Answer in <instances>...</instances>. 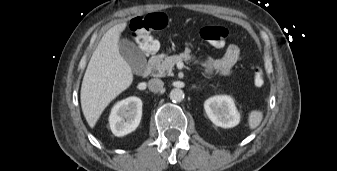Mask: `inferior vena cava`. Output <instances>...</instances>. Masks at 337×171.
I'll list each match as a JSON object with an SVG mask.
<instances>
[{"mask_svg":"<svg viewBox=\"0 0 337 171\" xmlns=\"http://www.w3.org/2000/svg\"><path fill=\"white\" fill-rule=\"evenodd\" d=\"M164 83L158 78H154L148 81V88L152 92H159L162 90Z\"/></svg>","mask_w":337,"mask_h":171,"instance_id":"602c4592","label":"inferior vena cava"}]
</instances>
